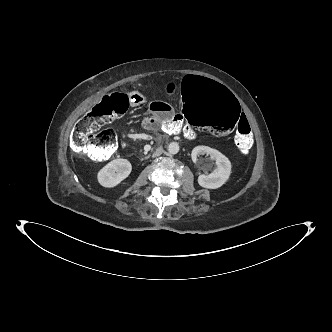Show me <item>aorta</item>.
Returning a JSON list of instances; mask_svg holds the SVG:
<instances>
[{
  "instance_id": "obj_1",
  "label": "aorta",
  "mask_w": 332,
  "mask_h": 332,
  "mask_svg": "<svg viewBox=\"0 0 332 332\" xmlns=\"http://www.w3.org/2000/svg\"><path fill=\"white\" fill-rule=\"evenodd\" d=\"M168 152L170 154H177L179 152V145L176 142H172L168 146Z\"/></svg>"
}]
</instances>
